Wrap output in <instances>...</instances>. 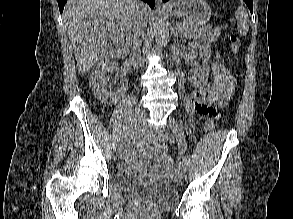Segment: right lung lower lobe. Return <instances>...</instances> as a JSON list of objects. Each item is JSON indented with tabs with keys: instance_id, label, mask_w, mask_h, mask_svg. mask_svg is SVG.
Masks as SVG:
<instances>
[{
	"instance_id": "obj_1",
	"label": "right lung lower lobe",
	"mask_w": 293,
	"mask_h": 219,
	"mask_svg": "<svg viewBox=\"0 0 293 219\" xmlns=\"http://www.w3.org/2000/svg\"><path fill=\"white\" fill-rule=\"evenodd\" d=\"M57 1H58L60 12L62 13L64 5L67 0H57ZM142 1L148 3L151 8H154L155 0H142Z\"/></svg>"
}]
</instances>
